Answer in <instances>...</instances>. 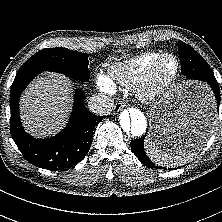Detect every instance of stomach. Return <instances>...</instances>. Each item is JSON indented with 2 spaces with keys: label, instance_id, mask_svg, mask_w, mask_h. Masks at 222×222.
<instances>
[{
  "label": "stomach",
  "instance_id": "stomach-1",
  "mask_svg": "<svg viewBox=\"0 0 222 222\" xmlns=\"http://www.w3.org/2000/svg\"><path fill=\"white\" fill-rule=\"evenodd\" d=\"M212 112V94L205 85L197 82L175 85L152 105L148 137L168 148L181 131L196 128L199 121ZM208 138L206 133L189 151L200 150Z\"/></svg>",
  "mask_w": 222,
  "mask_h": 222
}]
</instances>
